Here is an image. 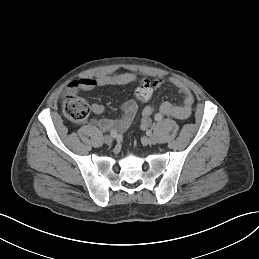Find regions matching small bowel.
<instances>
[{
  "label": "small bowel",
  "instance_id": "c3829d8e",
  "mask_svg": "<svg viewBox=\"0 0 259 259\" xmlns=\"http://www.w3.org/2000/svg\"><path fill=\"white\" fill-rule=\"evenodd\" d=\"M138 81V77L129 72L116 73L107 76H101L98 78H89L82 80L76 88L69 87L68 92L76 93L78 89L81 90H93L95 88L109 86V85H131ZM170 82L179 90L183 96V102L181 105L174 104L169 101H165L160 105V112L166 116H171L177 119H186L192 113V106L194 103V95L186 87V85L178 79H171ZM165 83L163 78L156 79L152 82L154 88H159ZM91 111L95 114H100L104 111V106L98 103H94L90 107ZM153 108L146 106L142 111L141 126L147 128L151 123V116L153 114ZM137 112V104L134 100H128L122 105V115L118 119H100L95 120L96 124L104 131H115L116 133L125 132L133 122Z\"/></svg>",
  "mask_w": 259,
  "mask_h": 259
}]
</instances>
